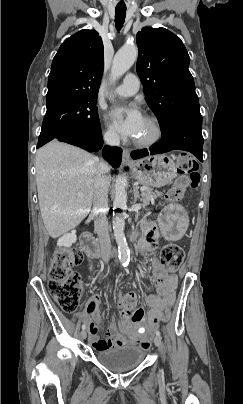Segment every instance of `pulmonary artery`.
I'll use <instances>...</instances> for the list:
<instances>
[{
	"instance_id": "e3ab8cb5",
	"label": "pulmonary artery",
	"mask_w": 243,
	"mask_h": 404,
	"mask_svg": "<svg viewBox=\"0 0 243 404\" xmlns=\"http://www.w3.org/2000/svg\"><path fill=\"white\" fill-rule=\"evenodd\" d=\"M126 51L118 52L117 57L123 56ZM117 63L120 64L121 60L117 59ZM140 79L136 74L128 73L123 78L122 83L116 88V94L123 97H129L136 94L140 89Z\"/></svg>"
}]
</instances>
